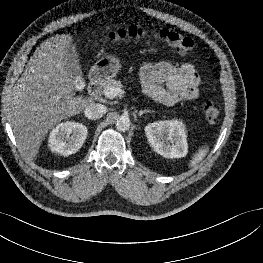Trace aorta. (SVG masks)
I'll return each mask as SVG.
<instances>
[{"label":"aorta","instance_id":"762f6f07","mask_svg":"<svg viewBox=\"0 0 263 263\" xmlns=\"http://www.w3.org/2000/svg\"><path fill=\"white\" fill-rule=\"evenodd\" d=\"M115 125H116V129L118 131L125 132V131L129 130V128H130V119L126 116H120L116 120Z\"/></svg>","mask_w":263,"mask_h":263}]
</instances>
